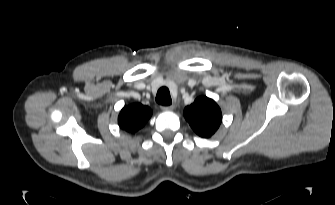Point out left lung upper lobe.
<instances>
[{"label": "left lung upper lobe", "instance_id": "obj_1", "mask_svg": "<svg viewBox=\"0 0 335 205\" xmlns=\"http://www.w3.org/2000/svg\"><path fill=\"white\" fill-rule=\"evenodd\" d=\"M184 116L192 129L201 137H211L221 124V110L208 97H199L184 109Z\"/></svg>", "mask_w": 335, "mask_h": 205}]
</instances>
